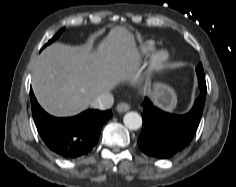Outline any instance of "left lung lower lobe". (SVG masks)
Instances as JSON below:
<instances>
[{"label": "left lung lower lobe", "instance_id": "0a47b994", "mask_svg": "<svg viewBox=\"0 0 236 187\" xmlns=\"http://www.w3.org/2000/svg\"><path fill=\"white\" fill-rule=\"evenodd\" d=\"M192 109L184 115L164 112L146 98L143 102V127L138 138L139 149L147 156L169 158L192 140L200 123L206 91L200 90Z\"/></svg>", "mask_w": 236, "mask_h": 187}]
</instances>
